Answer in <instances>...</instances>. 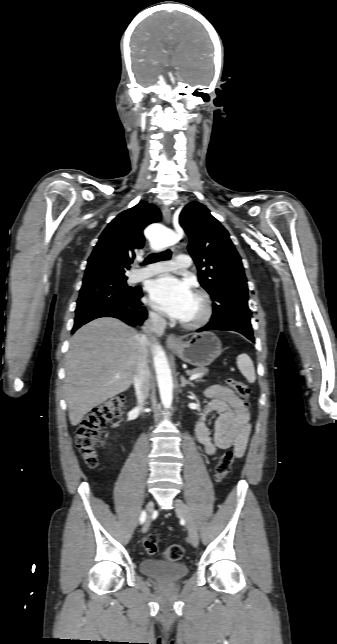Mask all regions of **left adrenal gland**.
<instances>
[{"label":"left adrenal gland","mask_w":337,"mask_h":644,"mask_svg":"<svg viewBox=\"0 0 337 644\" xmlns=\"http://www.w3.org/2000/svg\"><path fill=\"white\" fill-rule=\"evenodd\" d=\"M180 379H181V384H180V386H181L182 388H183V387H185L186 385H190V386H192V387L194 386V384H193L192 382H190L189 380H186V378H185L184 376H181V377H180Z\"/></svg>","instance_id":"left-adrenal-gland-1"}]
</instances>
